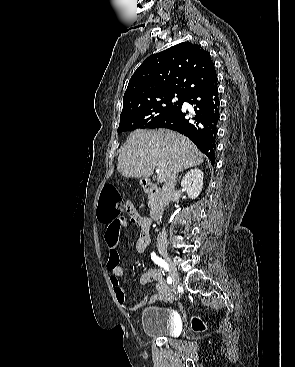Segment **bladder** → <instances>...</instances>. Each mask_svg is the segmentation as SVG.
<instances>
[{
  "mask_svg": "<svg viewBox=\"0 0 295 367\" xmlns=\"http://www.w3.org/2000/svg\"><path fill=\"white\" fill-rule=\"evenodd\" d=\"M141 326L148 337H172L178 329L177 316L164 306L149 305L142 310Z\"/></svg>",
  "mask_w": 295,
  "mask_h": 367,
  "instance_id": "1",
  "label": "bladder"
}]
</instances>
